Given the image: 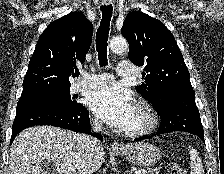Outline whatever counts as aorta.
<instances>
[{
    "instance_id": "aorta-1",
    "label": "aorta",
    "mask_w": 224,
    "mask_h": 174,
    "mask_svg": "<svg viewBox=\"0 0 224 174\" xmlns=\"http://www.w3.org/2000/svg\"><path fill=\"white\" fill-rule=\"evenodd\" d=\"M128 48V43L123 37H114L110 41V49L114 53L124 52Z\"/></svg>"
}]
</instances>
